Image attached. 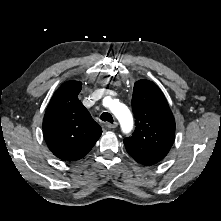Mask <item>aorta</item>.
Listing matches in <instances>:
<instances>
[{"label": "aorta", "instance_id": "obj_1", "mask_svg": "<svg viewBox=\"0 0 221 221\" xmlns=\"http://www.w3.org/2000/svg\"><path fill=\"white\" fill-rule=\"evenodd\" d=\"M110 110L118 119L122 131L124 133H129L133 128V117L128 107L122 103L114 104L112 102L110 105Z\"/></svg>", "mask_w": 221, "mask_h": 221}]
</instances>
